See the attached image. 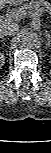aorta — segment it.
<instances>
[{
  "mask_svg": "<svg viewBox=\"0 0 51 153\" xmlns=\"http://www.w3.org/2000/svg\"><path fill=\"white\" fill-rule=\"evenodd\" d=\"M39 41L38 34L31 30H24L20 33L19 42L21 47L32 48L37 45Z\"/></svg>",
  "mask_w": 51,
  "mask_h": 153,
  "instance_id": "762f6f07",
  "label": "aorta"
}]
</instances>
